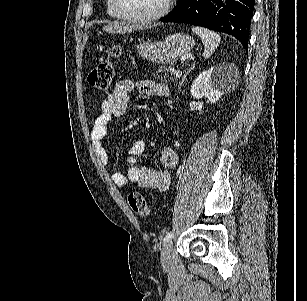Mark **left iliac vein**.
<instances>
[{"label":"left iliac vein","mask_w":307,"mask_h":301,"mask_svg":"<svg viewBox=\"0 0 307 301\" xmlns=\"http://www.w3.org/2000/svg\"><path fill=\"white\" fill-rule=\"evenodd\" d=\"M172 246H173V243L172 241L169 240L164 244L161 250L160 260H161V264L165 267L170 264Z\"/></svg>","instance_id":"1"}]
</instances>
